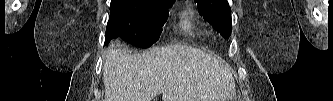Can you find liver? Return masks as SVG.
Listing matches in <instances>:
<instances>
[{"mask_svg": "<svg viewBox=\"0 0 333 101\" xmlns=\"http://www.w3.org/2000/svg\"><path fill=\"white\" fill-rule=\"evenodd\" d=\"M105 101H231L235 83L220 58L187 45L131 55L121 44L105 51Z\"/></svg>", "mask_w": 333, "mask_h": 101, "instance_id": "liver-1", "label": "liver"}]
</instances>
